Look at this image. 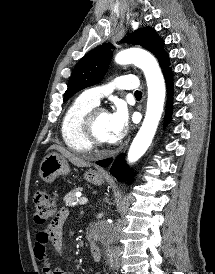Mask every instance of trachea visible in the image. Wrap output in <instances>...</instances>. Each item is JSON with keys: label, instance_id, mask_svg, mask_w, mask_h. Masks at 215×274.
I'll return each instance as SVG.
<instances>
[{"label": "trachea", "instance_id": "1", "mask_svg": "<svg viewBox=\"0 0 215 274\" xmlns=\"http://www.w3.org/2000/svg\"><path fill=\"white\" fill-rule=\"evenodd\" d=\"M135 97H142V92L141 91H136L135 92Z\"/></svg>", "mask_w": 215, "mask_h": 274}]
</instances>
